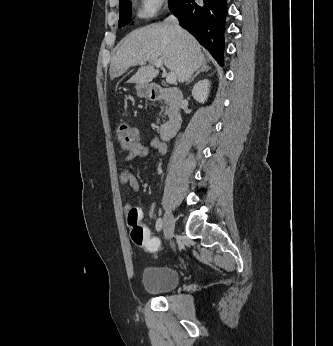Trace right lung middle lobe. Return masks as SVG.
<instances>
[{"label":"right lung middle lobe","instance_id":"1","mask_svg":"<svg viewBox=\"0 0 333 346\" xmlns=\"http://www.w3.org/2000/svg\"><path fill=\"white\" fill-rule=\"evenodd\" d=\"M174 0H169V7L172 5ZM131 21V3L130 0H120L119 9V28L127 25Z\"/></svg>","mask_w":333,"mask_h":346}]
</instances>
